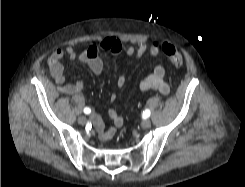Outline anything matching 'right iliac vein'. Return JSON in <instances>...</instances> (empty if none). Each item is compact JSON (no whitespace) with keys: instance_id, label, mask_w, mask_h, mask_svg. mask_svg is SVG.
Wrapping results in <instances>:
<instances>
[{"instance_id":"63e3f726","label":"right iliac vein","mask_w":245,"mask_h":187,"mask_svg":"<svg viewBox=\"0 0 245 187\" xmlns=\"http://www.w3.org/2000/svg\"><path fill=\"white\" fill-rule=\"evenodd\" d=\"M78 123L81 125H84L86 123V117L85 116H80L78 118Z\"/></svg>"}]
</instances>
